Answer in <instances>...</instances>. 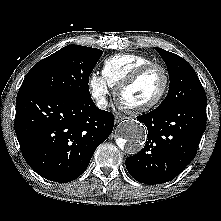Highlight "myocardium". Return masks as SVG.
<instances>
[{
	"mask_svg": "<svg viewBox=\"0 0 221 221\" xmlns=\"http://www.w3.org/2000/svg\"><path fill=\"white\" fill-rule=\"evenodd\" d=\"M153 68H159L164 76V85L160 93L154 99L144 104L140 105L126 104L122 100V95L125 92V90L131 87L132 85H134L146 72H148ZM169 87H170V75L167 68L160 63L153 62L139 67L128 77H126L123 81H121L115 90V100L118 107L121 108L122 110L132 113H142L149 111L155 108L157 105H159L165 98L169 90Z\"/></svg>",
	"mask_w": 221,
	"mask_h": 221,
	"instance_id": "f54148a6",
	"label": "myocardium"
}]
</instances>
